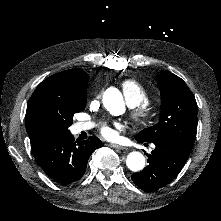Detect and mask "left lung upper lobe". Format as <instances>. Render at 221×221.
Listing matches in <instances>:
<instances>
[{"instance_id":"left-lung-upper-lobe-1","label":"left lung upper lobe","mask_w":221,"mask_h":221,"mask_svg":"<svg viewBox=\"0 0 221 221\" xmlns=\"http://www.w3.org/2000/svg\"><path fill=\"white\" fill-rule=\"evenodd\" d=\"M162 98L158 124L142 130L136 138L145 141L167 139L191 152L197 132V103L184 80L162 71L157 77Z\"/></svg>"}]
</instances>
